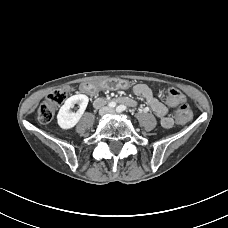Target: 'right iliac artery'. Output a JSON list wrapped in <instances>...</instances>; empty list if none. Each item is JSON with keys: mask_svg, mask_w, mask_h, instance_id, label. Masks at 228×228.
Returning <instances> with one entry per match:
<instances>
[{"mask_svg": "<svg viewBox=\"0 0 228 228\" xmlns=\"http://www.w3.org/2000/svg\"><path fill=\"white\" fill-rule=\"evenodd\" d=\"M108 106H109L110 108H114V107L116 106V102L111 101V102L108 104Z\"/></svg>", "mask_w": 228, "mask_h": 228, "instance_id": "1", "label": "right iliac artery"}]
</instances>
